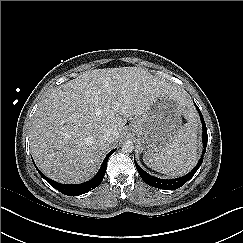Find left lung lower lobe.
Segmentation results:
<instances>
[{
  "instance_id": "1",
  "label": "left lung lower lobe",
  "mask_w": 243,
  "mask_h": 243,
  "mask_svg": "<svg viewBox=\"0 0 243 243\" xmlns=\"http://www.w3.org/2000/svg\"><path fill=\"white\" fill-rule=\"evenodd\" d=\"M195 106L199 112V115H200V118L202 121V126H203L202 139H203V154H204L206 152V146H207V140H208L207 128H206V124H205V121L203 119L200 109L198 108V106L196 104H195ZM134 162H135V166H136L138 173L140 174L141 178L144 180V182L146 184H148L152 187H156V188H160V189H164V190H174V189H177V188H180L181 186H183L190 178L193 177V175L196 173V171L199 169V167L201 166V164L203 162V156L200 158L196 167L191 172H189L187 175L176 178V179H170V180L159 179L154 176H151L148 173H146L137 164V162L135 161V158H134Z\"/></svg>"
}]
</instances>
